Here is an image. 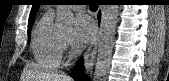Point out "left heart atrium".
<instances>
[{
    "instance_id": "1",
    "label": "left heart atrium",
    "mask_w": 169,
    "mask_h": 81,
    "mask_svg": "<svg viewBox=\"0 0 169 81\" xmlns=\"http://www.w3.org/2000/svg\"><path fill=\"white\" fill-rule=\"evenodd\" d=\"M94 33V25L88 15L79 14L75 18L74 28L71 35L72 44L75 47L85 46Z\"/></svg>"
}]
</instances>
